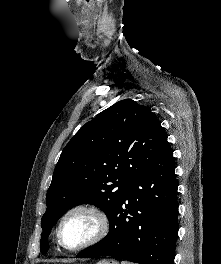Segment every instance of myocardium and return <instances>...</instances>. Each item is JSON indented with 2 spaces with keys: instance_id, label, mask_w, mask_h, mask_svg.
<instances>
[{
  "instance_id": "obj_1",
  "label": "myocardium",
  "mask_w": 221,
  "mask_h": 264,
  "mask_svg": "<svg viewBox=\"0 0 221 264\" xmlns=\"http://www.w3.org/2000/svg\"><path fill=\"white\" fill-rule=\"evenodd\" d=\"M78 212H84L92 215L97 221V231L95 235L86 241L85 243L75 246L69 247L67 246L62 238V228L65 221L73 214ZM110 229V219L107 213L99 206L94 204H78L72 208H70L61 218L58 228H57V240L58 243L68 251H79L85 248H88L99 241H101L109 232Z\"/></svg>"
}]
</instances>
